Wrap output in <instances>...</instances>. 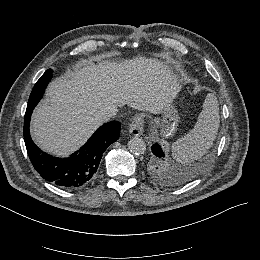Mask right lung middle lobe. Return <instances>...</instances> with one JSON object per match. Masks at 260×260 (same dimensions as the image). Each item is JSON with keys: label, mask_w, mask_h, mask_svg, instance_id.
I'll return each instance as SVG.
<instances>
[{"label": "right lung middle lobe", "mask_w": 260, "mask_h": 260, "mask_svg": "<svg viewBox=\"0 0 260 260\" xmlns=\"http://www.w3.org/2000/svg\"><path fill=\"white\" fill-rule=\"evenodd\" d=\"M43 76H48V77H51L52 76V70L51 69H48L44 74H43ZM40 83H36L35 84V86H34V88H33V90H32V92H31V95H30V97H29V101H28V107H31V106H33V107H35L36 106V104L39 102V100L42 98V94L41 95H38V85H39ZM32 107V108H33Z\"/></svg>", "instance_id": "right-lung-middle-lobe-1"}]
</instances>
